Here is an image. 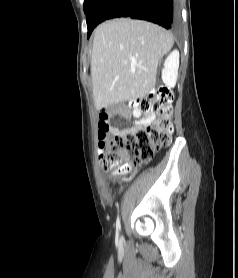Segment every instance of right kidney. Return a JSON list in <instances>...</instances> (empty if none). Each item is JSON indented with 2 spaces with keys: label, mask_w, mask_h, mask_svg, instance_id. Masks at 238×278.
<instances>
[{
  "label": "right kidney",
  "mask_w": 238,
  "mask_h": 278,
  "mask_svg": "<svg viewBox=\"0 0 238 278\" xmlns=\"http://www.w3.org/2000/svg\"><path fill=\"white\" fill-rule=\"evenodd\" d=\"M179 68V52L174 50L171 52L164 62L162 70V80L168 87H173L177 80Z\"/></svg>",
  "instance_id": "obj_1"
}]
</instances>
